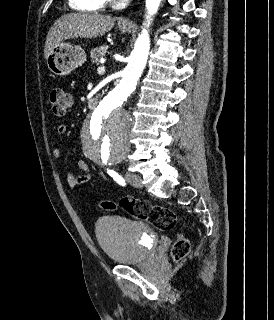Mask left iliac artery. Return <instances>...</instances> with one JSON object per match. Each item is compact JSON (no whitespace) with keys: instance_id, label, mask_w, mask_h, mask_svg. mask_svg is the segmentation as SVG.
<instances>
[{"instance_id":"44dca946","label":"left iliac artery","mask_w":274,"mask_h":320,"mask_svg":"<svg viewBox=\"0 0 274 320\" xmlns=\"http://www.w3.org/2000/svg\"><path fill=\"white\" fill-rule=\"evenodd\" d=\"M108 173L111 177H113V179L119 184L124 186L125 185V180L123 179V177L121 175H119L118 173H116L113 170H108Z\"/></svg>"}]
</instances>
